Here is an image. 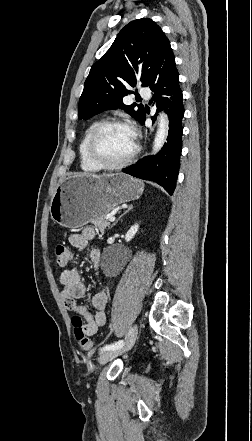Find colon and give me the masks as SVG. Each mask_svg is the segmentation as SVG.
<instances>
[{
  "mask_svg": "<svg viewBox=\"0 0 252 441\" xmlns=\"http://www.w3.org/2000/svg\"><path fill=\"white\" fill-rule=\"evenodd\" d=\"M55 253L57 267L63 268L71 261L72 255L66 246L57 245ZM72 324L74 327V334L80 349L83 351L90 350L92 347V342L84 331V323L82 319L78 315H74L72 317Z\"/></svg>",
  "mask_w": 252,
  "mask_h": 441,
  "instance_id": "1",
  "label": "colon"
}]
</instances>
